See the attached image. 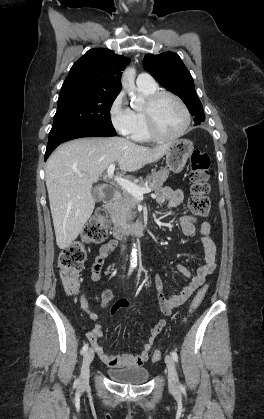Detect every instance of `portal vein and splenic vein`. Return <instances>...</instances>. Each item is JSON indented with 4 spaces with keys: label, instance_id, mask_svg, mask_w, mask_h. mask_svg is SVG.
Instances as JSON below:
<instances>
[{
    "label": "portal vein and splenic vein",
    "instance_id": "obj_1",
    "mask_svg": "<svg viewBox=\"0 0 264 419\" xmlns=\"http://www.w3.org/2000/svg\"><path fill=\"white\" fill-rule=\"evenodd\" d=\"M115 170V164H110L107 170L108 177L113 178ZM114 180L119 184L122 189L136 198H143V194L150 193L152 189L150 187H139L137 184L121 177H114Z\"/></svg>",
    "mask_w": 264,
    "mask_h": 419
}]
</instances>
